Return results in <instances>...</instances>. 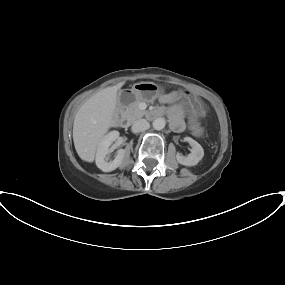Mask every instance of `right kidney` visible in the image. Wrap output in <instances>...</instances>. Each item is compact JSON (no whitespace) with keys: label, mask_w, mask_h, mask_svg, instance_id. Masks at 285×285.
I'll return each instance as SVG.
<instances>
[{"label":"right kidney","mask_w":285,"mask_h":285,"mask_svg":"<svg viewBox=\"0 0 285 285\" xmlns=\"http://www.w3.org/2000/svg\"><path fill=\"white\" fill-rule=\"evenodd\" d=\"M119 138L118 131H111L109 132L104 139L100 142L97 147L96 152V165L99 169L103 172H111L122 165L124 157H125V150L119 149L117 151V155L115 159L111 162H108L106 155L110 152L111 144Z\"/></svg>","instance_id":"ca27d5eb"}]
</instances>
